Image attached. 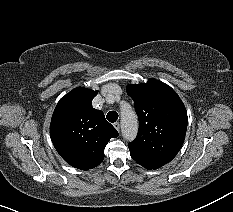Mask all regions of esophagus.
<instances>
[{"mask_svg": "<svg viewBox=\"0 0 233 212\" xmlns=\"http://www.w3.org/2000/svg\"><path fill=\"white\" fill-rule=\"evenodd\" d=\"M113 126L118 132L120 131V124L118 122H115Z\"/></svg>", "mask_w": 233, "mask_h": 212, "instance_id": "34e87169", "label": "esophagus"}]
</instances>
